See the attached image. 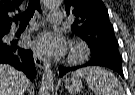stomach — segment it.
Instances as JSON below:
<instances>
[{"label": "stomach", "mask_w": 135, "mask_h": 95, "mask_svg": "<svg viewBox=\"0 0 135 95\" xmlns=\"http://www.w3.org/2000/svg\"><path fill=\"white\" fill-rule=\"evenodd\" d=\"M82 87L83 83L79 76L73 74L72 76L65 79V88L73 95L80 92Z\"/></svg>", "instance_id": "obj_1"}]
</instances>
